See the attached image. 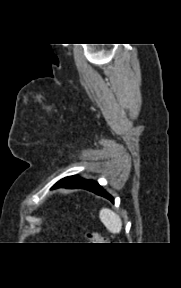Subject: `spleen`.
<instances>
[{
  "instance_id": "3e777b00",
  "label": "spleen",
  "mask_w": 181,
  "mask_h": 288,
  "mask_svg": "<svg viewBox=\"0 0 181 288\" xmlns=\"http://www.w3.org/2000/svg\"><path fill=\"white\" fill-rule=\"evenodd\" d=\"M101 222L111 233H120L122 229V220L118 214L109 208H102L99 213Z\"/></svg>"
}]
</instances>
